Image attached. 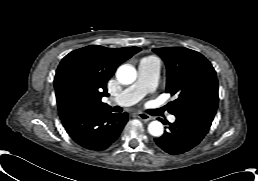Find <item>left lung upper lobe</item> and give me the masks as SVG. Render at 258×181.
<instances>
[{"label": "left lung upper lobe", "mask_w": 258, "mask_h": 181, "mask_svg": "<svg viewBox=\"0 0 258 181\" xmlns=\"http://www.w3.org/2000/svg\"><path fill=\"white\" fill-rule=\"evenodd\" d=\"M153 51L166 63V91L176 94L169 112L197 114L214 118L218 107V81L211 63L199 52L182 48H156Z\"/></svg>", "instance_id": "1"}]
</instances>
